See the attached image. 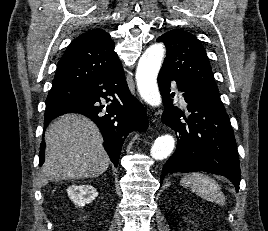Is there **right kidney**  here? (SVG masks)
I'll return each mask as SVG.
<instances>
[{
  "instance_id": "obj_1",
  "label": "right kidney",
  "mask_w": 268,
  "mask_h": 231,
  "mask_svg": "<svg viewBox=\"0 0 268 231\" xmlns=\"http://www.w3.org/2000/svg\"><path fill=\"white\" fill-rule=\"evenodd\" d=\"M67 193L73 203L79 207L91 203L98 196L96 188L91 185H72L68 187Z\"/></svg>"
}]
</instances>
